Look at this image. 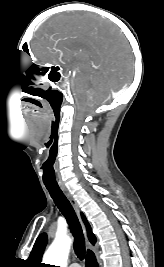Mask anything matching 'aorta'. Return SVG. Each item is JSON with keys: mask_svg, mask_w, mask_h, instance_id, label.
Returning a JSON list of instances; mask_svg holds the SVG:
<instances>
[{"mask_svg": "<svg viewBox=\"0 0 164 267\" xmlns=\"http://www.w3.org/2000/svg\"><path fill=\"white\" fill-rule=\"evenodd\" d=\"M72 240L68 236H56L53 243L44 254L46 264L66 267Z\"/></svg>", "mask_w": 164, "mask_h": 267, "instance_id": "obj_1", "label": "aorta"}]
</instances>
